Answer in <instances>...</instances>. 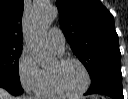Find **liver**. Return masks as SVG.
<instances>
[{
  "label": "liver",
  "instance_id": "liver-1",
  "mask_svg": "<svg viewBox=\"0 0 128 99\" xmlns=\"http://www.w3.org/2000/svg\"><path fill=\"white\" fill-rule=\"evenodd\" d=\"M0 99H14L6 90L0 88ZM22 99H28L23 97Z\"/></svg>",
  "mask_w": 128,
  "mask_h": 99
}]
</instances>
